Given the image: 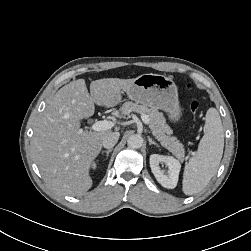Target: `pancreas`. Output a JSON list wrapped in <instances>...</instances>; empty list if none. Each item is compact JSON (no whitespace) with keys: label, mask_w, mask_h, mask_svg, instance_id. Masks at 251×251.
I'll list each match as a JSON object with an SVG mask.
<instances>
[{"label":"pancreas","mask_w":251,"mask_h":251,"mask_svg":"<svg viewBox=\"0 0 251 251\" xmlns=\"http://www.w3.org/2000/svg\"><path fill=\"white\" fill-rule=\"evenodd\" d=\"M120 111L124 117L129 116L131 112L148 115L149 127L155 139L180 161L184 160L183 144L176 137L171 136V128L166 124L164 115L156 108L138 105L133 102H125Z\"/></svg>","instance_id":"pancreas-1"}]
</instances>
